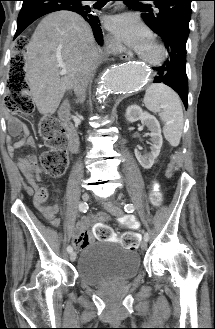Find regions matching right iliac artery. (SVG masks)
<instances>
[{
    "instance_id": "82829eb1",
    "label": "right iliac artery",
    "mask_w": 215,
    "mask_h": 329,
    "mask_svg": "<svg viewBox=\"0 0 215 329\" xmlns=\"http://www.w3.org/2000/svg\"><path fill=\"white\" fill-rule=\"evenodd\" d=\"M79 210L83 213H85L88 210V204L86 202H81L79 204ZM67 251L71 253L73 251V248L71 246L67 247Z\"/></svg>"
}]
</instances>
